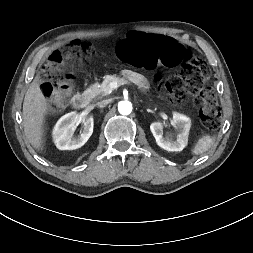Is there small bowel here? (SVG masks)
Instances as JSON below:
<instances>
[{"label":"small bowel","instance_id":"1","mask_svg":"<svg viewBox=\"0 0 253 253\" xmlns=\"http://www.w3.org/2000/svg\"><path fill=\"white\" fill-rule=\"evenodd\" d=\"M162 37V36H161ZM163 39H165L164 37H162ZM147 68H152V67H147ZM124 74L127 77L133 78L135 80H137L139 82L140 85L145 86V81L143 78L139 77L135 72L130 71V70H124Z\"/></svg>","mask_w":253,"mask_h":253}]
</instances>
